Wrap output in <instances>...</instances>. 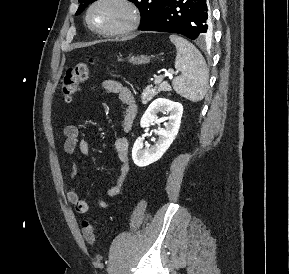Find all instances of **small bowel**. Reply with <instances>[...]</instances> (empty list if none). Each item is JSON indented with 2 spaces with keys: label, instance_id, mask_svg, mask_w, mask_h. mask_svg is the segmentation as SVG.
Segmentation results:
<instances>
[{
  "label": "small bowel",
  "instance_id": "obj_1",
  "mask_svg": "<svg viewBox=\"0 0 289 274\" xmlns=\"http://www.w3.org/2000/svg\"><path fill=\"white\" fill-rule=\"evenodd\" d=\"M101 88L118 95L120 101L125 105V115L123 118V129L128 132L134 122L137 105L133 92L124 84L116 80L103 81ZM97 87H91V90H96ZM65 137L64 152L71 159V172L70 180H73L77 173L78 168L74 158L78 153L88 156L91 153L90 144L79 137V129L75 125H67L63 129ZM115 151L120 163V168L116 176L114 184L107 189L106 195L109 198L117 196L123 189L128 173H129V141L126 136H120L115 141ZM67 200L75 207L78 214H85L88 212L89 204L86 200L79 197L78 191L75 187H71L67 194ZM96 205L100 209H107L111 206V201L105 199H99Z\"/></svg>",
  "mask_w": 289,
  "mask_h": 274
}]
</instances>
